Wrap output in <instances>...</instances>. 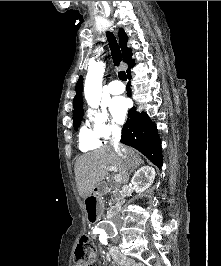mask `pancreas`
I'll return each mask as SVG.
<instances>
[{
	"label": "pancreas",
	"mask_w": 221,
	"mask_h": 266,
	"mask_svg": "<svg viewBox=\"0 0 221 266\" xmlns=\"http://www.w3.org/2000/svg\"><path fill=\"white\" fill-rule=\"evenodd\" d=\"M112 194H113V196H112L111 201L115 205L111 207V210H117V209H119L120 205L122 204L123 197L118 194L117 190H112Z\"/></svg>",
	"instance_id": "cf45deb5"
}]
</instances>
